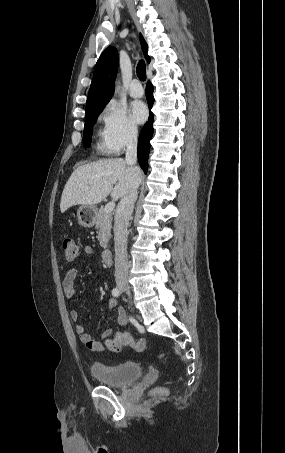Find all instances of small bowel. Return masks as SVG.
Listing matches in <instances>:
<instances>
[{
    "mask_svg": "<svg viewBox=\"0 0 285 453\" xmlns=\"http://www.w3.org/2000/svg\"><path fill=\"white\" fill-rule=\"evenodd\" d=\"M83 252L86 255L93 254V248L91 246H84ZM77 276L76 268H70L63 279L62 288L63 293L67 298H71L75 294L74 281ZM108 306L111 310H116L117 301L111 298L108 302ZM70 318L72 321L77 322L79 320V312L77 310L70 311ZM128 322V316L123 309L117 310V324L119 326H124ZM76 333L79 336L81 343L90 351L99 352L104 350V345L101 340H97L92 337L91 334L85 331V328L82 324L78 323L75 327ZM112 334V329L108 328L104 330L101 334L102 339L108 338Z\"/></svg>",
    "mask_w": 285,
    "mask_h": 453,
    "instance_id": "obj_1",
    "label": "small bowel"
}]
</instances>
